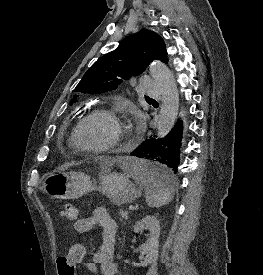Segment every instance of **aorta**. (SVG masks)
I'll return each instance as SVG.
<instances>
[{
	"label": "aorta",
	"mask_w": 263,
	"mask_h": 275,
	"mask_svg": "<svg viewBox=\"0 0 263 275\" xmlns=\"http://www.w3.org/2000/svg\"><path fill=\"white\" fill-rule=\"evenodd\" d=\"M152 77L158 83L162 95V104L157 118L158 138L165 137L172 129L179 110V93L172 72L160 61L150 65Z\"/></svg>",
	"instance_id": "obj_1"
}]
</instances>
